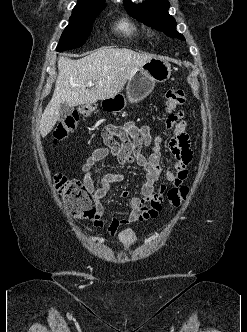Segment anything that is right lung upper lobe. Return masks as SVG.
<instances>
[{"instance_id":"1","label":"right lung upper lobe","mask_w":247,"mask_h":332,"mask_svg":"<svg viewBox=\"0 0 247 332\" xmlns=\"http://www.w3.org/2000/svg\"><path fill=\"white\" fill-rule=\"evenodd\" d=\"M103 5H106L105 0H78L75 8H92Z\"/></svg>"}]
</instances>
